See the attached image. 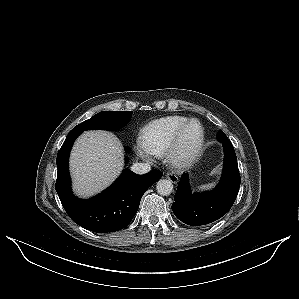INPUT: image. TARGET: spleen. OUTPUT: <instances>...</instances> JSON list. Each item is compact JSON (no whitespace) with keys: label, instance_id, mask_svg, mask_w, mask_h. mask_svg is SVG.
Returning a JSON list of instances; mask_svg holds the SVG:
<instances>
[{"label":"spleen","instance_id":"spleen-1","mask_svg":"<svg viewBox=\"0 0 299 299\" xmlns=\"http://www.w3.org/2000/svg\"><path fill=\"white\" fill-rule=\"evenodd\" d=\"M213 186H214L213 183H208V184L198 186L197 189L198 191H205L211 189Z\"/></svg>","mask_w":299,"mask_h":299}]
</instances>
